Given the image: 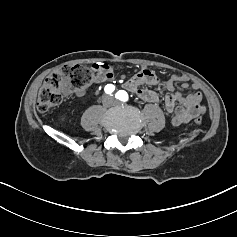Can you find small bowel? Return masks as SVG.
Masks as SVG:
<instances>
[{"instance_id": "1", "label": "small bowel", "mask_w": 237, "mask_h": 237, "mask_svg": "<svg viewBox=\"0 0 237 237\" xmlns=\"http://www.w3.org/2000/svg\"><path fill=\"white\" fill-rule=\"evenodd\" d=\"M113 78V72L99 74L95 78V82L102 83L113 80ZM176 82H182L181 87L183 89L189 87V84L183 77L172 76L168 79H160L152 70L145 68L127 79L123 83V86L146 102H158L161 99L160 91H162L164 94V106L166 111L172 115V123L174 125H182L203 114L205 112V106L202 102V94L197 85H192L194 92L184 95L179 91H175L174 85ZM145 86L154 87L157 90L149 89ZM64 93L65 95L74 93L77 96H83L85 91L72 92L65 90Z\"/></svg>"}]
</instances>
